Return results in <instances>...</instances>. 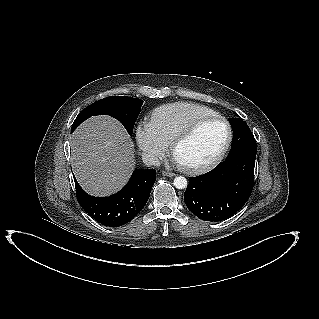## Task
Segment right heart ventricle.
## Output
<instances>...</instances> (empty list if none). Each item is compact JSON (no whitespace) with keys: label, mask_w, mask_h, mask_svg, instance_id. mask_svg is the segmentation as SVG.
Segmentation results:
<instances>
[{"label":"right heart ventricle","mask_w":319,"mask_h":319,"mask_svg":"<svg viewBox=\"0 0 319 319\" xmlns=\"http://www.w3.org/2000/svg\"><path fill=\"white\" fill-rule=\"evenodd\" d=\"M216 113L212 109L196 103L179 101L156 107L149 115L153 129L169 144L193 119Z\"/></svg>","instance_id":"e07e8e85"}]
</instances>
